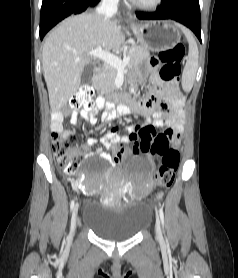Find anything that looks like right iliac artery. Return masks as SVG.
I'll return each mask as SVG.
<instances>
[{
    "instance_id": "obj_1",
    "label": "right iliac artery",
    "mask_w": 238,
    "mask_h": 278,
    "mask_svg": "<svg viewBox=\"0 0 238 278\" xmlns=\"http://www.w3.org/2000/svg\"><path fill=\"white\" fill-rule=\"evenodd\" d=\"M73 208H74V200H71L70 209L73 210Z\"/></svg>"
}]
</instances>
